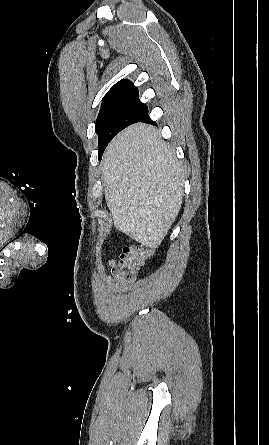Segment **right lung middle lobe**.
I'll return each instance as SVG.
<instances>
[{
    "label": "right lung middle lobe",
    "mask_w": 269,
    "mask_h": 445,
    "mask_svg": "<svg viewBox=\"0 0 269 445\" xmlns=\"http://www.w3.org/2000/svg\"><path fill=\"white\" fill-rule=\"evenodd\" d=\"M147 112V105L139 100L138 89L106 94L103 98L95 127L99 137V158H101L108 143L118 132L138 122Z\"/></svg>",
    "instance_id": "obj_1"
}]
</instances>
